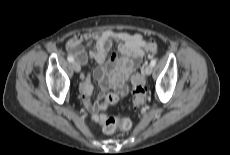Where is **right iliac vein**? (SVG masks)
<instances>
[{"mask_svg": "<svg viewBox=\"0 0 230 155\" xmlns=\"http://www.w3.org/2000/svg\"><path fill=\"white\" fill-rule=\"evenodd\" d=\"M72 68L77 73L80 72V70H81L80 64L77 61L72 62Z\"/></svg>", "mask_w": 230, "mask_h": 155, "instance_id": "obj_1", "label": "right iliac vein"}]
</instances>
